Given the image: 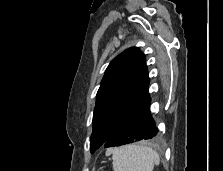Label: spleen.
<instances>
[{"label": "spleen", "instance_id": "1", "mask_svg": "<svg viewBox=\"0 0 223 171\" xmlns=\"http://www.w3.org/2000/svg\"><path fill=\"white\" fill-rule=\"evenodd\" d=\"M114 171H153L159 154L148 146L127 145L111 151Z\"/></svg>", "mask_w": 223, "mask_h": 171}]
</instances>
